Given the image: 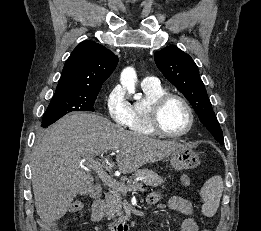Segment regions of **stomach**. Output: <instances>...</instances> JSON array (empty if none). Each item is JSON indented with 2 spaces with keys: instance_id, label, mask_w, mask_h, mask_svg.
Segmentation results:
<instances>
[{
  "instance_id": "stomach-1",
  "label": "stomach",
  "mask_w": 261,
  "mask_h": 231,
  "mask_svg": "<svg viewBox=\"0 0 261 231\" xmlns=\"http://www.w3.org/2000/svg\"><path fill=\"white\" fill-rule=\"evenodd\" d=\"M170 162L175 170H184L197 167L200 164V159L190 147L183 146L171 153Z\"/></svg>"
}]
</instances>
